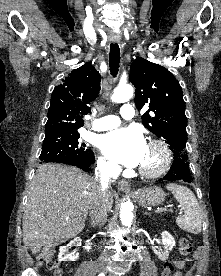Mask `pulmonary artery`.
Masks as SVG:
<instances>
[{
  "instance_id": "obj_1",
  "label": "pulmonary artery",
  "mask_w": 221,
  "mask_h": 276,
  "mask_svg": "<svg viewBox=\"0 0 221 276\" xmlns=\"http://www.w3.org/2000/svg\"><path fill=\"white\" fill-rule=\"evenodd\" d=\"M120 115L124 119H132L134 116V108L130 104H123L120 108ZM121 120L118 116L109 115L97 119L93 124V129L96 131L110 130L119 126Z\"/></svg>"
}]
</instances>
